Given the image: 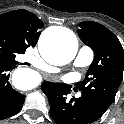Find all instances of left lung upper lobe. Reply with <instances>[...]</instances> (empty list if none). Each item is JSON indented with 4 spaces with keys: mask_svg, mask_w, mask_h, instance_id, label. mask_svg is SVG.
<instances>
[{
    "mask_svg": "<svg viewBox=\"0 0 124 124\" xmlns=\"http://www.w3.org/2000/svg\"><path fill=\"white\" fill-rule=\"evenodd\" d=\"M79 26L80 39L93 49L95 57L85 79L76 86L105 112L123 79L124 51L118 38L103 25L86 21Z\"/></svg>",
    "mask_w": 124,
    "mask_h": 124,
    "instance_id": "obj_1",
    "label": "left lung upper lobe"
}]
</instances>
